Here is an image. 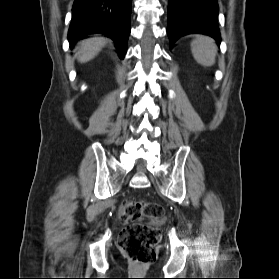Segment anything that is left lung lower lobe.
Segmentation results:
<instances>
[{
  "label": "left lung lower lobe",
  "instance_id": "1",
  "mask_svg": "<svg viewBox=\"0 0 279 279\" xmlns=\"http://www.w3.org/2000/svg\"><path fill=\"white\" fill-rule=\"evenodd\" d=\"M217 0H169L167 33L170 47L181 36L200 33L220 43Z\"/></svg>",
  "mask_w": 279,
  "mask_h": 279
}]
</instances>
